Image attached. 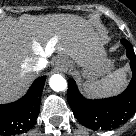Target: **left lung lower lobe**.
Here are the masks:
<instances>
[{"mask_svg":"<svg viewBox=\"0 0 136 136\" xmlns=\"http://www.w3.org/2000/svg\"><path fill=\"white\" fill-rule=\"evenodd\" d=\"M121 42L133 72L131 82L123 93L104 99H86L78 91L75 81L68 80V103L76 118L90 129L116 128L136 111V55L127 40L122 39Z\"/></svg>","mask_w":136,"mask_h":136,"instance_id":"1","label":"left lung lower lobe"}]
</instances>
